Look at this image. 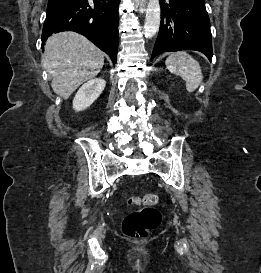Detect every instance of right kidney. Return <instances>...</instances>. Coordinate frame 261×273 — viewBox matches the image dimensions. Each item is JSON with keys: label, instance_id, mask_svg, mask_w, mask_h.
Returning a JSON list of instances; mask_svg holds the SVG:
<instances>
[{"label": "right kidney", "instance_id": "obj_1", "mask_svg": "<svg viewBox=\"0 0 261 273\" xmlns=\"http://www.w3.org/2000/svg\"><path fill=\"white\" fill-rule=\"evenodd\" d=\"M106 86V81L101 78L91 79L83 84L76 93L73 100V108L82 111L92 105L100 96Z\"/></svg>", "mask_w": 261, "mask_h": 273}]
</instances>
